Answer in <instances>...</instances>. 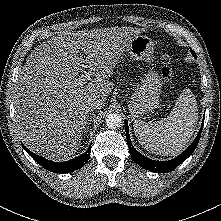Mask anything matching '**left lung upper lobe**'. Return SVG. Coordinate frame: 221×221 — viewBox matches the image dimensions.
Here are the masks:
<instances>
[{"label":"left lung upper lobe","mask_w":221,"mask_h":221,"mask_svg":"<svg viewBox=\"0 0 221 221\" xmlns=\"http://www.w3.org/2000/svg\"><path fill=\"white\" fill-rule=\"evenodd\" d=\"M191 53L193 54V56L196 58V55H195V53L191 50Z\"/></svg>","instance_id":"obj_1"}]
</instances>
